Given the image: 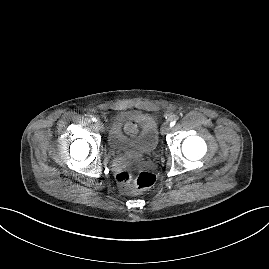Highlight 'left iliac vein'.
I'll list each match as a JSON object with an SVG mask.
<instances>
[{"label": "left iliac vein", "mask_w": 269, "mask_h": 269, "mask_svg": "<svg viewBox=\"0 0 269 269\" xmlns=\"http://www.w3.org/2000/svg\"><path fill=\"white\" fill-rule=\"evenodd\" d=\"M169 130H170V126L168 124H164L161 128V134L165 135L169 132Z\"/></svg>", "instance_id": "4c4485c4"}]
</instances>
